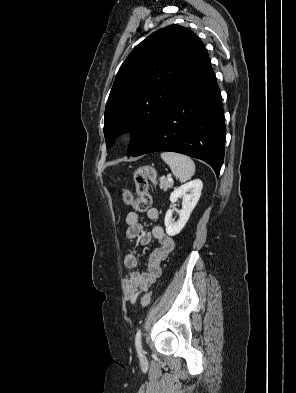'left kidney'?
I'll return each mask as SVG.
<instances>
[{
	"mask_svg": "<svg viewBox=\"0 0 296 393\" xmlns=\"http://www.w3.org/2000/svg\"><path fill=\"white\" fill-rule=\"evenodd\" d=\"M202 189V181L200 179H195L184 185H181L171 193V203H175L178 198H183V202L178 221L174 222V220L172 219V210H168L166 213L164 224L166 233L169 236H175L179 234L184 228L193 209L199 201Z\"/></svg>",
	"mask_w": 296,
	"mask_h": 393,
	"instance_id": "5707ae66",
	"label": "left kidney"
}]
</instances>
